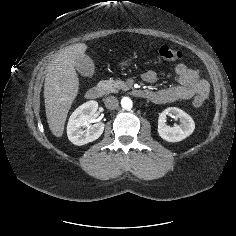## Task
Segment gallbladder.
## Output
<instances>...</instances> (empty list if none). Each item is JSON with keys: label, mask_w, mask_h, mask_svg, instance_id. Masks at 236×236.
Segmentation results:
<instances>
[{"label": "gallbladder", "mask_w": 236, "mask_h": 236, "mask_svg": "<svg viewBox=\"0 0 236 236\" xmlns=\"http://www.w3.org/2000/svg\"><path fill=\"white\" fill-rule=\"evenodd\" d=\"M75 67L84 77H92L95 73V65L93 60L85 54L76 60Z\"/></svg>", "instance_id": "gallbladder-1"}]
</instances>
